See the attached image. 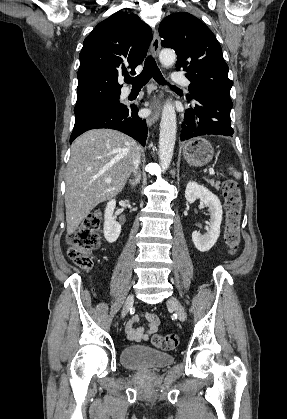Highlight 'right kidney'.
Listing matches in <instances>:
<instances>
[{"label":"right kidney","instance_id":"right-kidney-1","mask_svg":"<svg viewBox=\"0 0 287 419\" xmlns=\"http://www.w3.org/2000/svg\"><path fill=\"white\" fill-rule=\"evenodd\" d=\"M115 208H116V200L114 199L110 200L107 203L105 214H104L105 221H104L103 233H104L105 239L109 243H114L118 239L121 233V225L113 217Z\"/></svg>","mask_w":287,"mask_h":419}]
</instances>
